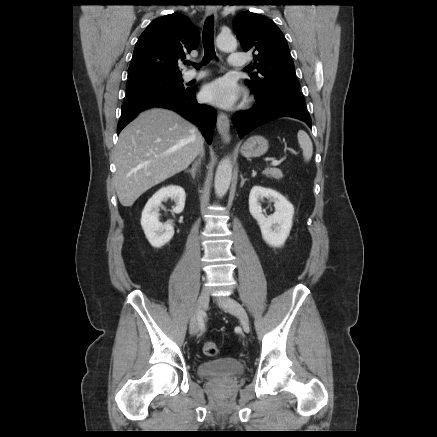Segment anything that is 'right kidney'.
Wrapping results in <instances>:
<instances>
[{
	"label": "right kidney",
	"instance_id": "right-kidney-1",
	"mask_svg": "<svg viewBox=\"0 0 437 437\" xmlns=\"http://www.w3.org/2000/svg\"><path fill=\"white\" fill-rule=\"evenodd\" d=\"M171 198L175 202L174 213H181L185 206V191L180 186L170 185L158 190L146 203L141 217V226L149 243L160 248L167 244L174 235L172 222L162 224L159 221V207L162 201Z\"/></svg>",
	"mask_w": 437,
	"mask_h": 437
}]
</instances>
